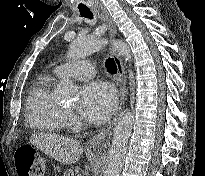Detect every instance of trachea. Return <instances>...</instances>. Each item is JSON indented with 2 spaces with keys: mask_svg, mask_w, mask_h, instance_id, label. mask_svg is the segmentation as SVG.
<instances>
[{
  "mask_svg": "<svg viewBox=\"0 0 205 176\" xmlns=\"http://www.w3.org/2000/svg\"><path fill=\"white\" fill-rule=\"evenodd\" d=\"M79 12H80L81 17H84V18H87V19H90V20L93 19V15H92V13L90 12L89 9L79 10ZM105 65H106L107 70L110 73L115 74L117 72V66L115 64L114 59L108 58L105 62Z\"/></svg>",
  "mask_w": 205,
  "mask_h": 176,
  "instance_id": "trachea-1",
  "label": "trachea"
}]
</instances>
